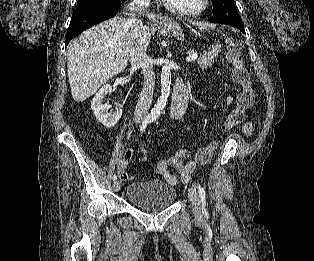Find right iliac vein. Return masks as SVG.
Here are the masks:
<instances>
[{
	"mask_svg": "<svg viewBox=\"0 0 314 261\" xmlns=\"http://www.w3.org/2000/svg\"><path fill=\"white\" fill-rule=\"evenodd\" d=\"M113 189H114V191H119V189H120V182L118 181V180H115L114 182H113Z\"/></svg>",
	"mask_w": 314,
	"mask_h": 261,
	"instance_id": "right-iliac-vein-1",
	"label": "right iliac vein"
}]
</instances>
